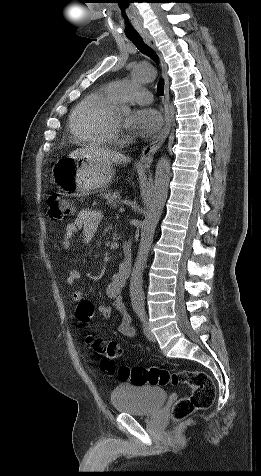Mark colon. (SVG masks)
Wrapping results in <instances>:
<instances>
[{"label":"colon","mask_w":261,"mask_h":476,"mask_svg":"<svg viewBox=\"0 0 261 476\" xmlns=\"http://www.w3.org/2000/svg\"><path fill=\"white\" fill-rule=\"evenodd\" d=\"M48 215L53 220H63L73 212L71 203L58 192L48 196ZM94 315V305L87 300L78 303L75 317L82 327H87ZM86 342L92 351L102 357V367L109 373L115 371V359L121 354V347L115 342H106L100 338L88 336ZM118 376L136 385H187L192 394L179 399L172 408V417L176 421L187 418L194 411L210 407L215 399L216 389L210 376L200 370H169L149 366H121Z\"/></svg>","instance_id":"obj_1"}]
</instances>
